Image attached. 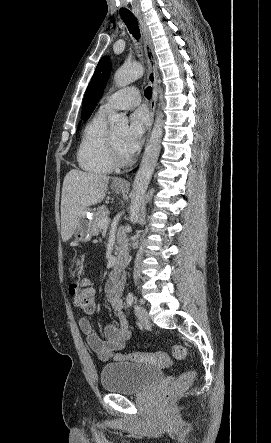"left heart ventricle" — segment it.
I'll use <instances>...</instances> for the list:
<instances>
[{"label": "left heart ventricle", "instance_id": "obj_1", "mask_svg": "<svg viewBox=\"0 0 271 443\" xmlns=\"http://www.w3.org/2000/svg\"><path fill=\"white\" fill-rule=\"evenodd\" d=\"M125 129L123 128V129H118V130H116V131H114L112 134H113V136H114V139H115V141H116V143H117V145H118V147H119V149L122 151V149H121V144H122V140H123V138H124V135H125ZM122 153L124 154V152L122 151ZM126 155V154H125Z\"/></svg>", "mask_w": 271, "mask_h": 443}]
</instances>
